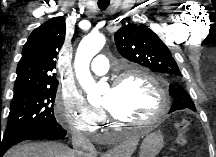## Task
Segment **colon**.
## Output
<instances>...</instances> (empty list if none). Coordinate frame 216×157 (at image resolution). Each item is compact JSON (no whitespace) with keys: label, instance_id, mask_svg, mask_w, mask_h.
<instances>
[{"label":"colon","instance_id":"5ec220e1","mask_svg":"<svg viewBox=\"0 0 216 157\" xmlns=\"http://www.w3.org/2000/svg\"><path fill=\"white\" fill-rule=\"evenodd\" d=\"M190 125L191 119L189 117H183L176 122L177 140L181 145H184L187 141Z\"/></svg>","mask_w":216,"mask_h":157}]
</instances>
